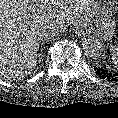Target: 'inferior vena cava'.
<instances>
[{
	"label": "inferior vena cava",
	"mask_w": 118,
	"mask_h": 118,
	"mask_svg": "<svg viewBox=\"0 0 118 118\" xmlns=\"http://www.w3.org/2000/svg\"><path fill=\"white\" fill-rule=\"evenodd\" d=\"M64 26H61V25H58L56 23H48V25H46V30H47V33L49 34H57L61 31V29L63 28Z\"/></svg>",
	"instance_id": "inferior-vena-cava-1"
}]
</instances>
